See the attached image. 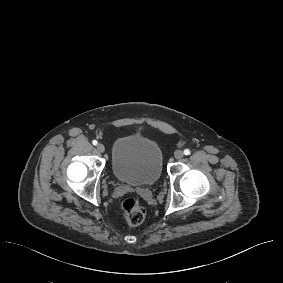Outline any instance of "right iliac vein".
Wrapping results in <instances>:
<instances>
[{
    "instance_id": "63e3f726",
    "label": "right iliac vein",
    "mask_w": 283,
    "mask_h": 283,
    "mask_svg": "<svg viewBox=\"0 0 283 283\" xmlns=\"http://www.w3.org/2000/svg\"><path fill=\"white\" fill-rule=\"evenodd\" d=\"M96 148L100 153H103L105 151V147L102 143H98Z\"/></svg>"
}]
</instances>
